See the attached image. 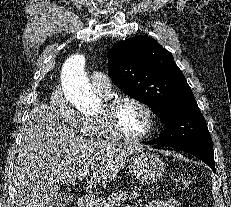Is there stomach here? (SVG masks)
<instances>
[{
  "label": "stomach",
  "instance_id": "obj_1",
  "mask_svg": "<svg viewBox=\"0 0 231 207\" xmlns=\"http://www.w3.org/2000/svg\"><path fill=\"white\" fill-rule=\"evenodd\" d=\"M130 170L141 183H154L165 171V165L158 155L147 151H136L131 155Z\"/></svg>",
  "mask_w": 231,
  "mask_h": 207
}]
</instances>
